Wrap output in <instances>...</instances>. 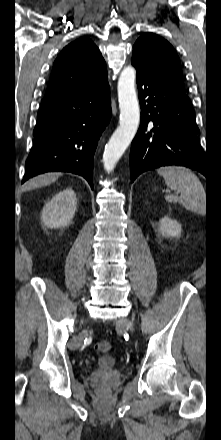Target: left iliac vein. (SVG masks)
Returning a JSON list of instances; mask_svg holds the SVG:
<instances>
[{
	"mask_svg": "<svg viewBox=\"0 0 221 440\" xmlns=\"http://www.w3.org/2000/svg\"><path fill=\"white\" fill-rule=\"evenodd\" d=\"M117 326L120 328H127L130 331L133 330V323L127 318H120L117 320Z\"/></svg>",
	"mask_w": 221,
	"mask_h": 440,
	"instance_id": "4c4485c4",
	"label": "left iliac vein"
}]
</instances>
